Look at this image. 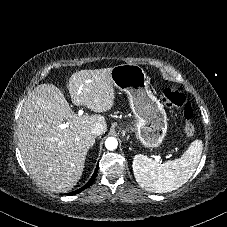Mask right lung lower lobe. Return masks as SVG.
Masks as SVG:
<instances>
[{"label": "right lung lower lobe", "instance_id": "98d812e1", "mask_svg": "<svg viewBox=\"0 0 227 227\" xmlns=\"http://www.w3.org/2000/svg\"><path fill=\"white\" fill-rule=\"evenodd\" d=\"M97 170H98V166L96 167L95 172H94L92 178L88 181V183L86 185H84L82 188H80V189H78V190H76L74 192L67 193V195L78 194V193L82 192V190H84L85 188L89 187L93 183V181H94V179H95V177L97 175Z\"/></svg>", "mask_w": 227, "mask_h": 227}]
</instances>
